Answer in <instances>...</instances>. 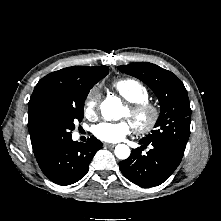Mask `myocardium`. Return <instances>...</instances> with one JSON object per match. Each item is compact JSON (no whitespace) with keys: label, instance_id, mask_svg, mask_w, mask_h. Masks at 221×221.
Returning <instances> with one entry per match:
<instances>
[{"label":"myocardium","instance_id":"myocardium-1","mask_svg":"<svg viewBox=\"0 0 221 221\" xmlns=\"http://www.w3.org/2000/svg\"><path fill=\"white\" fill-rule=\"evenodd\" d=\"M128 117L140 134L151 132L157 125L160 117L159 107L150 100L131 103L127 107Z\"/></svg>","mask_w":221,"mask_h":221}]
</instances>
